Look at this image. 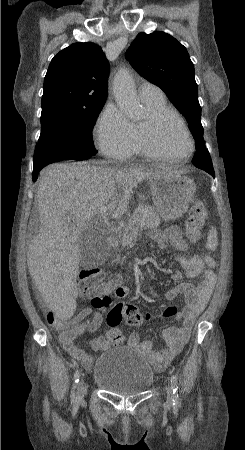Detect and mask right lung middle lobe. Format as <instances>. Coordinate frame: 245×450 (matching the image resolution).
<instances>
[{
	"mask_svg": "<svg viewBox=\"0 0 245 450\" xmlns=\"http://www.w3.org/2000/svg\"><path fill=\"white\" fill-rule=\"evenodd\" d=\"M104 104L92 109L51 106L42 109L39 148L34 169L72 156L95 155L91 129Z\"/></svg>",
	"mask_w": 245,
	"mask_h": 450,
	"instance_id": "dd1d6c3e",
	"label": "right lung middle lobe"
}]
</instances>
